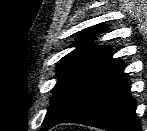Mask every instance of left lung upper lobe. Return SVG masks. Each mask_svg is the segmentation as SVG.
Instances as JSON below:
<instances>
[{
	"instance_id": "obj_1",
	"label": "left lung upper lobe",
	"mask_w": 147,
	"mask_h": 131,
	"mask_svg": "<svg viewBox=\"0 0 147 131\" xmlns=\"http://www.w3.org/2000/svg\"><path fill=\"white\" fill-rule=\"evenodd\" d=\"M104 28L94 27L80 34L77 48L57 64V84L41 131H47L76 112L87 99L122 66L108 48L90 39Z\"/></svg>"
}]
</instances>
